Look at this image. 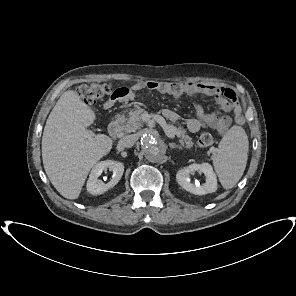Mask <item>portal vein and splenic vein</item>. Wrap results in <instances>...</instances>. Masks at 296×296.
Listing matches in <instances>:
<instances>
[{"label": "portal vein and splenic vein", "mask_w": 296, "mask_h": 296, "mask_svg": "<svg viewBox=\"0 0 296 296\" xmlns=\"http://www.w3.org/2000/svg\"><path fill=\"white\" fill-rule=\"evenodd\" d=\"M159 119H156L157 122L163 127L165 134L169 137V138H174L175 134L174 132L169 128L168 124L165 122V120L161 117L158 116Z\"/></svg>", "instance_id": "obj_1"}]
</instances>
